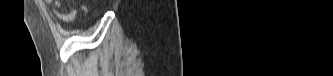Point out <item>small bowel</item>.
<instances>
[{"mask_svg": "<svg viewBox=\"0 0 333 76\" xmlns=\"http://www.w3.org/2000/svg\"><path fill=\"white\" fill-rule=\"evenodd\" d=\"M47 3L52 4L54 6V8L52 9V12L56 16V18L58 20H60L61 22H65V23L72 22L75 19L79 9L85 13L88 12V7L84 3H81V2L75 3L74 8L68 12H59L55 9V8L60 7V1H47Z\"/></svg>", "mask_w": 333, "mask_h": 76, "instance_id": "1", "label": "small bowel"}]
</instances>
